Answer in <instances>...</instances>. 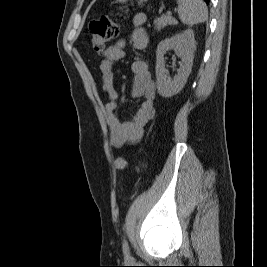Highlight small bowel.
Segmentation results:
<instances>
[{
	"mask_svg": "<svg viewBox=\"0 0 267 267\" xmlns=\"http://www.w3.org/2000/svg\"><path fill=\"white\" fill-rule=\"evenodd\" d=\"M146 21V15L141 12L132 18L131 43L136 49H144L148 44V35L144 28ZM124 47L125 42L122 40L109 47L100 63L102 87L109 98L104 106V113L110 129L111 143L116 148L139 142L155 114V83L147 63L142 60L134 61L131 67L134 73L132 95L143 98L141 108L127 122H121L116 114L118 91L113 65L124 57Z\"/></svg>",
	"mask_w": 267,
	"mask_h": 267,
	"instance_id": "c3829d8e",
	"label": "small bowel"
}]
</instances>
